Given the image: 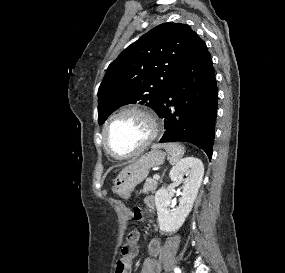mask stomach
Masks as SVG:
<instances>
[{"label":"stomach","mask_w":285,"mask_h":273,"mask_svg":"<svg viewBox=\"0 0 285 273\" xmlns=\"http://www.w3.org/2000/svg\"><path fill=\"white\" fill-rule=\"evenodd\" d=\"M164 158L165 153L158 148H154V150L129 164L115 179V192L123 198H128L134 188L147 178L149 170L152 167L161 165Z\"/></svg>","instance_id":"obj_1"}]
</instances>
